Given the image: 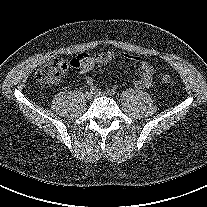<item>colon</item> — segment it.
I'll return each instance as SVG.
<instances>
[{
  "label": "colon",
  "instance_id": "obj_1",
  "mask_svg": "<svg viewBox=\"0 0 207 207\" xmlns=\"http://www.w3.org/2000/svg\"><path fill=\"white\" fill-rule=\"evenodd\" d=\"M69 63L61 57L51 58L41 69L36 72V81L42 85H50L56 83L61 74L67 70ZM160 80L164 84L172 81L169 73H161Z\"/></svg>",
  "mask_w": 207,
  "mask_h": 207
}]
</instances>
